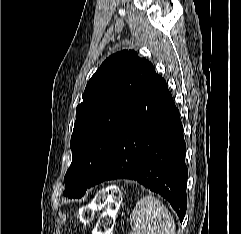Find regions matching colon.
Segmentation results:
<instances>
[{
	"label": "colon",
	"instance_id": "obj_1",
	"mask_svg": "<svg viewBox=\"0 0 241 234\" xmlns=\"http://www.w3.org/2000/svg\"><path fill=\"white\" fill-rule=\"evenodd\" d=\"M119 202L120 193L117 189H102L96 194L91 205L80 210V219L89 223L97 211H102L94 234H112Z\"/></svg>",
	"mask_w": 241,
	"mask_h": 234
}]
</instances>
